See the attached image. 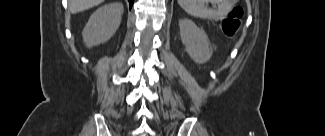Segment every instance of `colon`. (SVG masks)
<instances>
[{
  "mask_svg": "<svg viewBox=\"0 0 325 136\" xmlns=\"http://www.w3.org/2000/svg\"><path fill=\"white\" fill-rule=\"evenodd\" d=\"M242 16L243 9L240 6L234 7L222 23L223 31L227 35L233 36L241 26Z\"/></svg>",
  "mask_w": 325,
  "mask_h": 136,
  "instance_id": "5ec220e1",
  "label": "colon"
}]
</instances>
